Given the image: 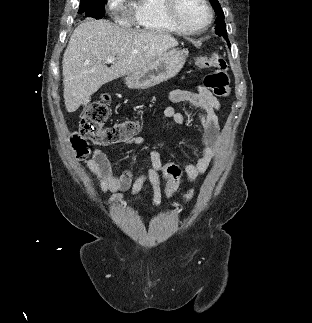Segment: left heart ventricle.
Listing matches in <instances>:
<instances>
[{"label": "left heart ventricle", "instance_id": "left-heart-ventricle-1", "mask_svg": "<svg viewBox=\"0 0 312 323\" xmlns=\"http://www.w3.org/2000/svg\"><path fill=\"white\" fill-rule=\"evenodd\" d=\"M175 14H179V18H187L192 22L194 18H207L209 7H203L200 0H174Z\"/></svg>", "mask_w": 312, "mask_h": 323}]
</instances>
